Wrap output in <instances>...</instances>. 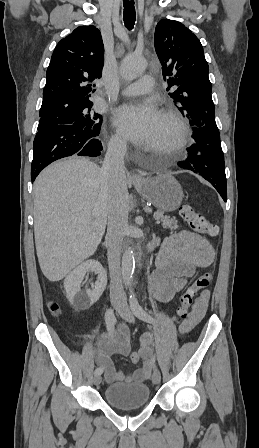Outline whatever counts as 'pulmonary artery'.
<instances>
[{
	"mask_svg": "<svg viewBox=\"0 0 259 448\" xmlns=\"http://www.w3.org/2000/svg\"><path fill=\"white\" fill-rule=\"evenodd\" d=\"M120 70L123 75L130 79L141 77L145 80H153L152 76L143 75L144 66L136 61V56L133 54H127L120 63ZM149 88H134L133 85H124L120 89L122 95H139L147 92Z\"/></svg>",
	"mask_w": 259,
	"mask_h": 448,
	"instance_id": "pulmonary-artery-1",
	"label": "pulmonary artery"
}]
</instances>
